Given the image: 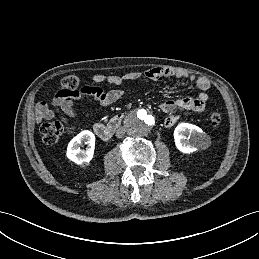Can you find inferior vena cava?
<instances>
[{"label": "inferior vena cava", "instance_id": "obj_1", "mask_svg": "<svg viewBox=\"0 0 259 259\" xmlns=\"http://www.w3.org/2000/svg\"><path fill=\"white\" fill-rule=\"evenodd\" d=\"M126 128L125 127H119L117 130H116V137L117 138H122L125 133H126Z\"/></svg>", "mask_w": 259, "mask_h": 259}]
</instances>
